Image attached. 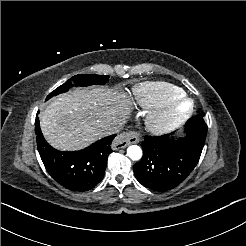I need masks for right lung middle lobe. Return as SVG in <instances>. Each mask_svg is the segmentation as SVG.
I'll return each instance as SVG.
<instances>
[{"instance_id":"1","label":"right lung middle lobe","mask_w":246,"mask_h":246,"mask_svg":"<svg viewBox=\"0 0 246 246\" xmlns=\"http://www.w3.org/2000/svg\"><path fill=\"white\" fill-rule=\"evenodd\" d=\"M109 81V76L106 75H86L80 74L72 77L66 83L56 88L52 91L46 98V100L50 99L53 96H56L60 93L67 92L70 87L73 86L72 82H75L76 86H88V85H104Z\"/></svg>"}]
</instances>
